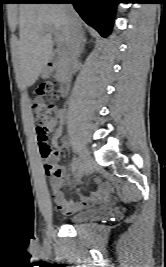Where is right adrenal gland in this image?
I'll use <instances>...</instances> for the list:
<instances>
[{"label": "right adrenal gland", "mask_w": 166, "mask_h": 267, "mask_svg": "<svg viewBox=\"0 0 166 267\" xmlns=\"http://www.w3.org/2000/svg\"><path fill=\"white\" fill-rule=\"evenodd\" d=\"M84 34L85 33L83 32V34H82V49L84 48V46H85V44L87 42V39L85 38V35Z\"/></svg>", "instance_id": "obj_1"}]
</instances>
